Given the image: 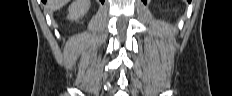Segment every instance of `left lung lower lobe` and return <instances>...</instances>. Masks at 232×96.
Returning a JSON list of instances; mask_svg holds the SVG:
<instances>
[{
    "label": "left lung lower lobe",
    "instance_id": "0a47b994",
    "mask_svg": "<svg viewBox=\"0 0 232 96\" xmlns=\"http://www.w3.org/2000/svg\"><path fill=\"white\" fill-rule=\"evenodd\" d=\"M147 0H143L144 3H146ZM191 0H188V2H190Z\"/></svg>",
    "mask_w": 232,
    "mask_h": 96
}]
</instances>
